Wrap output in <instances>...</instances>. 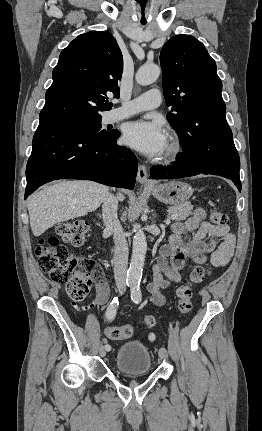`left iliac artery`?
Returning <instances> with one entry per match:
<instances>
[{
	"instance_id": "44dca946",
	"label": "left iliac artery",
	"mask_w": 262,
	"mask_h": 431,
	"mask_svg": "<svg viewBox=\"0 0 262 431\" xmlns=\"http://www.w3.org/2000/svg\"><path fill=\"white\" fill-rule=\"evenodd\" d=\"M131 299L135 303H139L142 300V294L140 290V281H135L131 285Z\"/></svg>"
}]
</instances>
